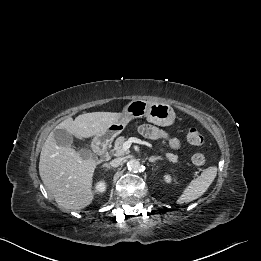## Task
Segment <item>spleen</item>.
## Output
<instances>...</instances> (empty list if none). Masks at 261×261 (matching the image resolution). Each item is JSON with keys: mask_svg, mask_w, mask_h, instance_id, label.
<instances>
[{"mask_svg": "<svg viewBox=\"0 0 261 261\" xmlns=\"http://www.w3.org/2000/svg\"><path fill=\"white\" fill-rule=\"evenodd\" d=\"M217 167L212 166L203 170L200 176L194 178L177 199L178 204L189 203L202 196L214 181Z\"/></svg>", "mask_w": 261, "mask_h": 261, "instance_id": "spleen-1", "label": "spleen"}]
</instances>
